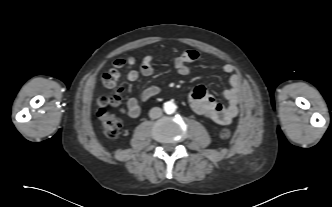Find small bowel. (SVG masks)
I'll return each instance as SVG.
<instances>
[{"instance_id":"small-bowel-1","label":"small bowel","mask_w":332,"mask_h":207,"mask_svg":"<svg viewBox=\"0 0 332 207\" xmlns=\"http://www.w3.org/2000/svg\"><path fill=\"white\" fill-rule=\"evenodd\" d=\"M199 53L195 50H187L180 55L174 57L173 63L177 72L181 75H188L190 73L189 64L199 59ZM135 59L130 57L126 60H115L113 67L102 75V84L106 88L116 87L120 78L119 69L124 65L133 66ZM155 57L153 55H146L140 66L139 70H130L126 79L130 82H134L139 78V75L150 76L154 72ZM223 72L229 76L230 87L225 91V98L227 100L226 105L218 103L214 97L210 94L207 88L203 85L194 87L189 94L190 105L193 110L212 120L220 125L230 124L237 116L239 111V103L241 100L240 87L241 77L237 73L236 69L231 64H225L223 66ZM122 89H118V95ZM160 92V87L150 86L144 89L141 93V100L146 102L155 97ZM120 105V104H119ZM126 113L133 118H136L141 113V108L138 100L135 97H129L126 102Z\"/></svg>"}]
</instances>
